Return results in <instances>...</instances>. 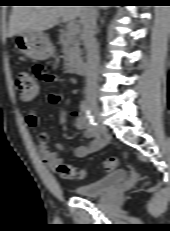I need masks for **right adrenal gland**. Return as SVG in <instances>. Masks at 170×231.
Listing matches in <instances>:
<instances>
[{
    "label": "right adrenal gland",
    "instance_id": "obj_1",
    "mask_svg": "<svg viewBox=\"0 0 170 231\" xmlns=\"http://www.w3.org/2000/svg\"><path fill=\"white\" fill-rule=\"evenodd\" d=\"M99 17V13H97V18Z\"/></svg>",
    "mask_w": 170,
    "mask_h": 231
}]
</instances>
